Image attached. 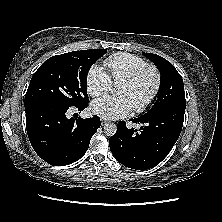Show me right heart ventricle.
Returning <instances> with one entry per match:
<instances>
[{
    "label": "right heart ventricle",
    "mask_w": 222,
    "mask_h": 222,
    "mask_svg": "<svg viewBox=\"0 0 222 222\" xmlns=\"http://www.w3.org/2000/svg\"><path fill=\"white\" fill-rule=\"evenodd\" d=\"M147 65V62L139 56L128 53H116L104 61L110 79L119 84L137 69Z\"/></svg>",
    "instance_id": "right-heart-ventricle-1"
}]
</instances>
